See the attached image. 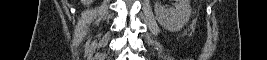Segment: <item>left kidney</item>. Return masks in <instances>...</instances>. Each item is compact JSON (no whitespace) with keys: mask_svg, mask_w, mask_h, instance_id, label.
<instances>
[{"mask_svg":"<svg viewBox=\"0 0 267 60\" xmlns=\"http://www.w3.org/2000/svg\"><path fill=\"white\" fill-rule=\"evenodd\" d=\"M175 7L165 9L156 0L154 3V11L159 24L171 32L179 31L188 22L192 9L189 0H175Z\"/></svg>","mask_w":267,"mask_h":60,"instance_id":"5707ae66","label":"left kidney"}]
</instances>
